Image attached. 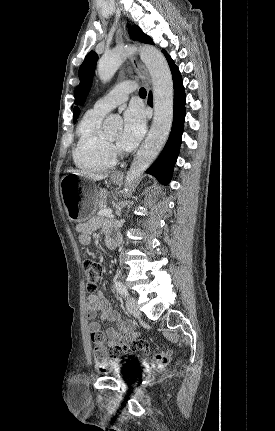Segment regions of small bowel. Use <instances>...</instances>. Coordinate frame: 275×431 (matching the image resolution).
Segmentation results:
<instances>
[{
  "label": "small bowel",
  "instance_id": "small-bowel-1",
  "mask_svg": "<svg viewBox=\"0 0 275 431\" xmlns=\"http://www.w3.org/2000/svg\"><path fill=\"white\" fill-rule=\"evenodd\" d=\"M99 225L100 221L97 219L79 224L77 226L79 242L82 245H88L91 242L92 232L99 227ZM105 231L109 232V227H105ZM99 312L100 322L95 320ZM87 317L91 320L88 325V329L91 333L99 331L104 322L115 324V327H108L105 330L108 346L110 348L125 347L138 337L134 329V324L131 321L122 320L119 312L111 309L107 299L102 293H97L88 297Z\"/></svg>",
  "mask_w": 275,
  "mask_h": 431
}]
</instances>
